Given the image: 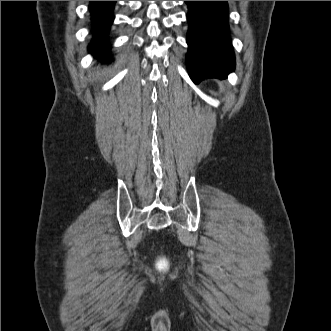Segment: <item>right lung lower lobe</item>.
Instances as JSON below:
<instances>
[{"mask_svg":"<svg viewBox=\"0 0 331 331\" xmlns=\"http://www.w3.org/2000/svg\"><path fill=\"white\" fill-rule=\"evenodd\" d=\"M116 1H90V12L94 23V39L89 50L95 57H105L108 48L105 44V35L112 23L113 8Z\"/></svg>","mask_w":331,"mask_h":331,"instance_id":"obj_1","label":"right lung lower lobe"}]
</instances>
